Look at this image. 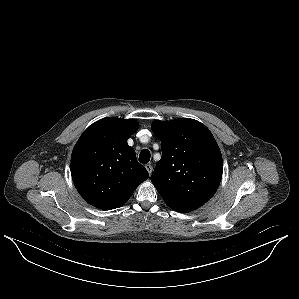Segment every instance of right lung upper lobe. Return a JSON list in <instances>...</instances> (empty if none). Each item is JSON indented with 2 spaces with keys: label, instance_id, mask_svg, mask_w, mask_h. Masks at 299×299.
Segmentation results:
<instances>
[{
  "label": "right lung upper lobe",
  "instance_id": "right-lung-upper-lobe-1",
  "mask_svg": "<svg viewBox=\"0 0 299 299\" xmlns=\"http://www.w3.org/2000/svg\"><path fill=\"white\" fill-rule=\"evenodd\" d=\"M138 125L134 119L103 118L77 141L71 174L77 191L89 204L103 210L120 207L148 179L147 170L127 144Z\"/></svg>",
  "mask_w": 299,
  "mask_h": 299
}]
</instances>
